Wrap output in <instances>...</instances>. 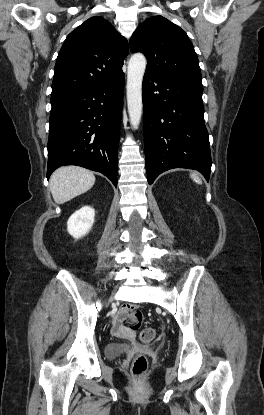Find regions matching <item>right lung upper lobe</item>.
Masks as SVG:
<instances>
[{
    "mask_svg": "<svg viewBox=\"0 0 264 415\" xmlns=\"http://www.w3.org/2000/svg\"><path fill=\"white\" fill-rule=\"evenodd\" d=\"M127 40L110 22L94 16L73 30L57 57L51 97L83 90L123 74Z\"/></svg>",
    "mask_w": 264,
    "mask_h": 415,
    "instance_id": "cb5924a9",
    "label": "right lung upper lobe"
}]
</instances>
